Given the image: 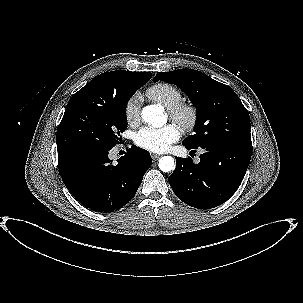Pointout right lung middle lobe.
<instances>
[{"mask_svg": "<svg viewBox=\"0 0 303 303\" xmlns=\"http://www.w3.org/2000/svg\"><path fill=\"white\" fill-rule=\"evenodd\" d=\"M146 82L125 86L115 98L75 93L57 129V151L114 147L120 141V133L127 128V103Z\"/></svg>", "mask_w": 303, "mask_h": 303, "instance_id": "1", "label": "right lung middle lobe"}]
</instances>
